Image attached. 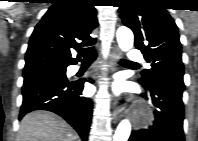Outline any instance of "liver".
<instances>
[{"label":"liver","instance_id":"6515ba94","mask_svg":"<svg viewBox=\"0 0 198 141\" xmlns=\"http://www.w3.org/2000/svg\"><path fill=\"white\" fill-rule=\"evenodd\" d=\"M77 133L65 120L48 111H34L21 121L17 141H76Z\"/></svg>","mask_w":198,"mask_h":141}]
</instances>
